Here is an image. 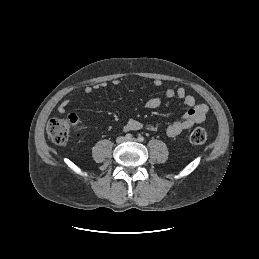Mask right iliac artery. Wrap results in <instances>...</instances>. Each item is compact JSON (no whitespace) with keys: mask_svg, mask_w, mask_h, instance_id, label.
<instances>
[{"mask_svg":"<svg viewBox=\"0 0 259 259\" xmlns=\"http://www.w3.org/2000/svg\"><path fill=\"white\" fill-rule=\"evenodd\" d=\"M125 138H126L127 140L132 139V134H130V133L126 134V135H125Z\"/></svg>","mask_w":259,"mask_h":259,"instance_id":"1","label":"right iliac artery"}]
</instances>
